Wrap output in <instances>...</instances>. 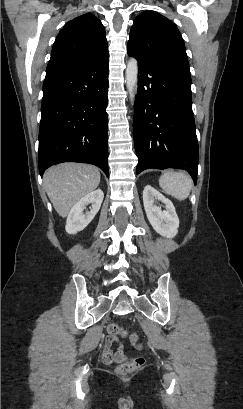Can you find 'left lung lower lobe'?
Segmentation results:
<instances>
[{"mask_svg": "<svg viewBox=\"0 0 243 409\" xmlns=\"http://www.w3.org/2000/svg\"><path fill=\"white\" fill-rule=\"evenodd\" d=\"M134 106L136 174L145 169H184L197 182L198 143L188 59L139 63Z\"/></svg>", "mask_w": 243, "mask_h": 409, "instance_id": "obj_1", "label": "left lung lower lobe"}]
</instances>
